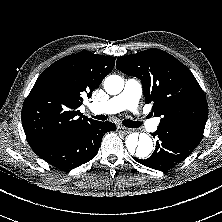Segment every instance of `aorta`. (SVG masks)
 I'll return each mask as SVG.
<instances>
[{"label":"aorta","instance_id":"obj_1","mask_svg":"<svg viewBox=\"0 0 222 222\" xmlns=\"http://www.w3.org/2000/svg\"><path fill=\"white\" fill-rule=\"evenodd\" d=\"M124 88V80L118 75H110L104 80V89L110 95L119 94ZM128 152L137 158H147L153 150V141L145 133H131L125 141Z\"/></svg>","mask_w":222,"mask_h":222}]
</instances>
